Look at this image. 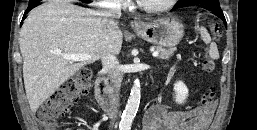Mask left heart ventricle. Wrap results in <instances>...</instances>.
Segmentation results:
<instances>
[{
  "mask_svg": "<svg viewBox=\"0 0 257 130\" xmlns=\"http://www.w3.org/2000/svg\"><path fill=\"white\" fill-rule=\"evenodd\" d=\"M140 1H141V3L148 5V6H157V5L163 4L167 0H140Z\"/></svg>",
  "mask_w": 257,
  "mask_h": 130,
  "instance_id": "b2bd125f",
  "label": "left heart ventricle"
}]
</instances>
